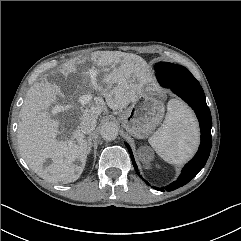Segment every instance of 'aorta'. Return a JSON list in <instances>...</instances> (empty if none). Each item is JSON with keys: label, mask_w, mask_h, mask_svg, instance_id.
<instances>
[{"label": "aorta", "mask_w": 241, "mask_h": 241, "mask_svg": "<svg viewBox=\"0 0 241 241\" xmlns=\"http://www.w3.org/2000/svg\"><path fill=\"white\" fill-rule=\"evenodd\" d=\"M118 125L112 121H107L102 124L100 129L101 137L104 140L112 141L117 138L118 136Z\"/></svg>", "instance_id": "762f6f07"}]
</instances>
